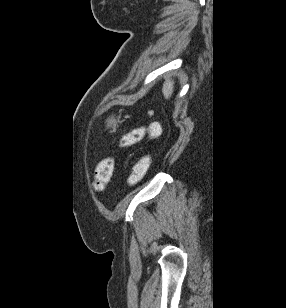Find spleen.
I'll use <instances>...</instances> for the list:
<instances>
[{
	"mask_svg": "<svg viewBox=\"0 0 286 308\" xmlns=\"http://www.w3.org/2000/svg\"><path fill=\"white\" fill-rule=\"evenodd\" d=\"M171 75L165 77V83L163 84L162 92L166 99H169L173 93L174 81L171 80Z\"/></svg>",
	"mask_w": 286,
	"mask_h": 308,
	"instance_id": "obj_1",
	"label": "spleen"
}]
</instances>
